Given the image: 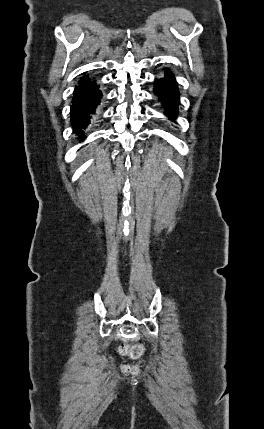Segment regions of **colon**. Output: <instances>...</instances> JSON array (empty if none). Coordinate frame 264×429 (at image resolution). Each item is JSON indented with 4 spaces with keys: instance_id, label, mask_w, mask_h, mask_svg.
<instances>
[{
    "instance_id": "5ec220e1",
    "label": "colon",
    "mask_w": 264,
    "mask_h": 429,
    "mask_svg": "<svg viewBox=\"0 0 264 429\" xmlns=\"http://www.w3.org/2000/svg\"><path fill=\"white\" fill-rule=\"evenodd\" d=\"M121 353L132 358H139L144 354V348L141 345H124L121 347ZM126 369L133 370L132 367H126Z\"/></svg>"
}]
</instances>
